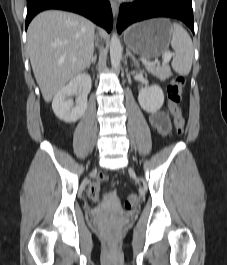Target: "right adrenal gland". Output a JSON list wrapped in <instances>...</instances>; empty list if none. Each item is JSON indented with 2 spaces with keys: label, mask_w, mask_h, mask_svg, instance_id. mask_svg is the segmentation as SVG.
I'll use <instances>...</instances> for the list:
<instances>
[{
  "label": "right adrenal gland",
  "mask_w": 227,
  "mask_h": 265,
  "mask_svg": "<svg viewBox=\"0 0 227 265\" xmlns=\"http://www.w3.org/2000/svg\"><path fill=\"white\" fill-rule=\"evenodd\" d=\"M96 60H97V55L95 54L92 56L91 61L87 65V69L90 68L91 64L96 63Z\"/></svg>",
  "instance_id": "1"
}]
</instances>
